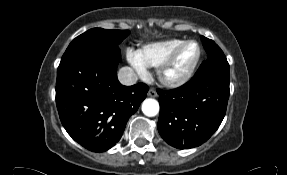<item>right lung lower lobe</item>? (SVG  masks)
I'll list each match as a JSON object with an SVG mask.
<instances>
[{
    "mask_svg": "<svg viewBox=\"0 0 287 175\" xmlns=\"http://www.w3.org/2000/svg\"><path fill=\"white\" fill-rule=\"evenodd\" d=\"M119 59L87 54L60 64L56 105L62 125L73 140L103 152L122 137L129 117L146 98L148 86H123L117 79Z\"/></svg>",
    "mask_w": 287,
    "mask_h": 175,
    "instance_id": "obj_1",
    "label": "right lung lower lobe"
}]
</instances>
